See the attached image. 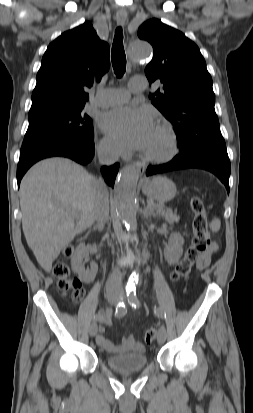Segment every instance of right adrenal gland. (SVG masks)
Here are the masks:
<instances>
[{
    "label": "right adrenal gland",
    "instance_id": "2a0ac1e0",
    "mask_svg": "<svg viewBox=\"0 0 253 413\" xmlns=\"http://www.w3.org/2000/svg\"><path fill=\"white\" fill-rule=\"evenodd\" d=\"M104 225L97 224L94 226V230L102 231Z\"/></svg>",
    "mask_w": 253,
    "mask_h": 413
}]
</instances>
